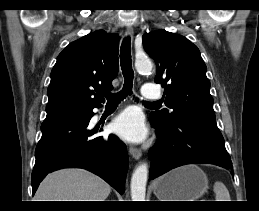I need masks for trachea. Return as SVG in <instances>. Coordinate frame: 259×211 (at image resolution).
I'll use <instances>...</instances> for the list:
<instances>
[{"mask_svg": "<svg viewBox=\"0 0 259 211\" xmlns=\"http://www.w3.org/2000/svg\"><path fill=\"white\" fill-rule=\"evenodd\" d=\"M120 64L122 69V74L124 76L123 89L119 93H105L108 102H120L127 95L132 94V85L134 79V71L132 69V59H131V40L129 37L125 38L122 42L120 49ZM147 104H160V101L147 102Z\"/></svg>", "mask_w": 259, "mask_h": 211, "instance_id": "1", "label": "trachea"}]
</instances>
